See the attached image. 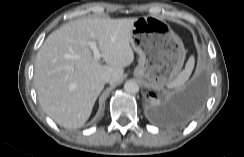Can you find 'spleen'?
<instances>
[{
  "label": "spleen",
  "mask_w": 244,
  "mask_h": 157,
  "mask_svg": "<svg viewBox=\"0 0 244 157\" xmlns=\"http://www.w3.org/2000/svg\"><path fill=\"white\" fill-rule=\"evenodd\" d=\"M194 63V56H190L185 65V69L182 70L170 83L167 84V88L173 89L182 87L190 77L192 70L194 68Z\"/></svg>",
  "instance_id": "1"
}]
</instances>
